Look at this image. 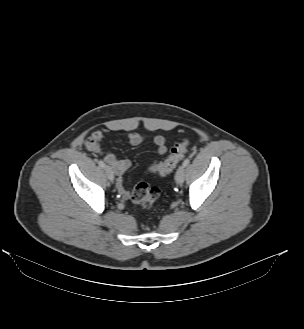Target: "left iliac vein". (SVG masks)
<instances>
[{
	"label": "left iliac vein",
	"instance_id": "1",
	"mask_svg": "<svg viewBox=\"0 0 304 329\" xmlns=\"http://www.w3.org/2000/svg\"><path fill=\"white\" fill-rule=\"evenodd\" d=\"M185 177V166L181 165L176 171L175 181L177 184L181 185L184 182Z\"/></svg>",
	"mask_w": 304,
	"mask_h": 329
}]
</instances>
